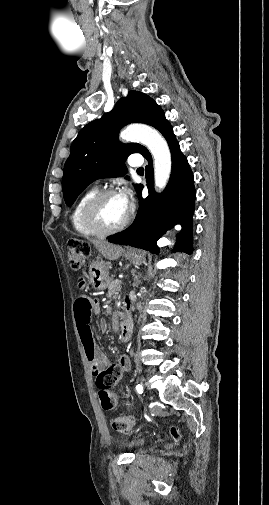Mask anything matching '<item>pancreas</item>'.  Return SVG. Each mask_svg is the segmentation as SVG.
<instances>
[{"instance_id":"cf45deb5","label":"pancreas","mask_w":269,"mask_h":505,"mask_svg":"<svg viewBox=\"0 0 269 505\" xmlns=\"http://www.w3.org/2000/svg\"><path fill=\"white\" fill-rule=\"evenodd\" d=\"M120 289H121V281L120 280L112 281L108 287V295L114 296Z\"/></svg>"}]
</instances>
